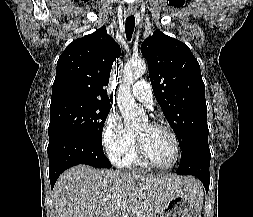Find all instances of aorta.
I'll list each match as a JSON object with an SVG mask.
<instances>
[{
  "label": "aorta",
  "mask_w": 253,
  "mask_h": 217,
  "mask_svg": "<svg viewBox=\"0 0 253 217\" xmlns=\"http://www.w3.org/2000/svg\"><path fill=\"white\" fill-rule=\"evenodd\" d=\"M146 69V63L142 59L130 61L124 67L117 103L127 127L139 126L146 120L144 110L137 106L130 89L131 84L142 77Z\"/></svg>",
  "instance_id": "aorta-1"
}]
</instances>
